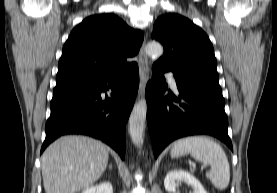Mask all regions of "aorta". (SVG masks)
I'll use <instances>...</instances> for the list:
<instances>
[{
	"mask_svg": "<svg viewBox=\"0 0 277 193\" xmlns=\"http://www.w3.org/2000/svg\"><path fill=\"white\" fill-rule=\"evenodd\" d=\"M145 50L152 58L160 57L163 54V47L158 42L148 43ZM146 113L147 103L145 99H142L135 104L129 118V134L133 143L139 148L143 144Z\"/></svg>",
	"mask_w": 277,
	"mask_h": 193,
	"instance_id": "762f6f07",
	"label": "aorta"
}]
</instances>
